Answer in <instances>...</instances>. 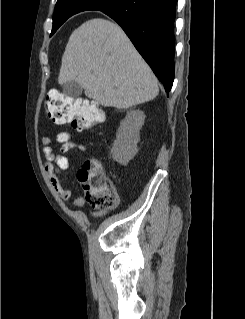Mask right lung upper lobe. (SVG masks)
<instances>
[{"label":"right lung upper lobe","mask_w":245,"mask_h":319,"mask_svg":"<svg viewBox=\"0 0 245 319\" xmlns=\"http://www.w3.org/2000/svg\"><path fill=\"white\" fill-rule=\"evenodd\" d=\"M58 1H61V0H58ZM65 1H70L71 2V6L69 7V17L78 13V12H81L83 11V8L80 7V3L83 1V0H65ZM106 9V8H105ZM104 10V9H102ZM101 11V10H100ZM68 17V18H69Z\"/></svg>","instance_id":"obj_1"}]
</instances>
